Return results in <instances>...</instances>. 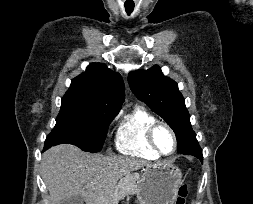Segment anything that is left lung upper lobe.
I'll return each instance as SVG.
<instances>
[{
  "label": "left lung upper lobe",
  "mask_w": 253,
  "mask_h": 204,
  "mask_svg": "<svg viewBox=\"0 0 253 204\" xmlns=\"http://www.w3.org/2000/svg\"><path fill=\"white\" fill-rule=\"evenodd\" d=\"M128 82L136 97L144 101L173 129L177 138V151H189L197 140L178 84L165 77L157 65L146 71L131 73Z\"/></svg>",
  "instance_id": "5c2ea615"
}]
</instances>
